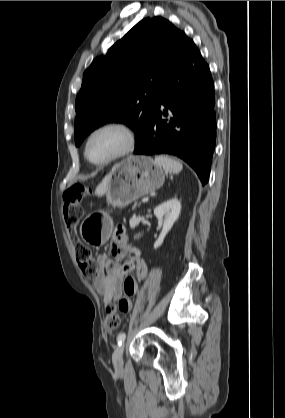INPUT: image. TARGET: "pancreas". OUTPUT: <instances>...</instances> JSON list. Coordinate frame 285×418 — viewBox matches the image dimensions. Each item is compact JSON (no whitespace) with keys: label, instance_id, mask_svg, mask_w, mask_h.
Returning <instances> with one entry per match:
<instances>
[{"label":"pancreas","instance_id":"obj_1","mask_svg":"<svg viewBox=\"0 0 285 418\" xmlns=\"http://www.w3.org/2000/svg\"><path fill=\"white\" fill-rule=\"evenodd\" d=\"M136 206H137V204H134V205H133V208H135Z\"/></svg>","mask_w":285,"mask_h":418}]
</instances>
